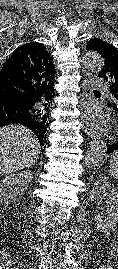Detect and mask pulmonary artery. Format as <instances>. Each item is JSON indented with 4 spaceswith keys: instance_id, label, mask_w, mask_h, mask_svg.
Masks as SVG:
<instances>
[{
    "instance_id": "e3ab8cb5",
    "label": "pulmonary artery",
    "mask_w": 118,
    "mask_h": 269,
    "mask_svg": "<svg viewBox=\"0 0 118 269\" xmlns=\"http://www.w3.org/2000/svg\"><path fill=\"white\" fill-rule=\"evenodd\" d=\"M94 87L98 89H105L108 87V84L105 80L103 79H97L94 81Z\"/></svg>"
}]
</instances>
